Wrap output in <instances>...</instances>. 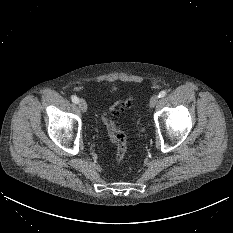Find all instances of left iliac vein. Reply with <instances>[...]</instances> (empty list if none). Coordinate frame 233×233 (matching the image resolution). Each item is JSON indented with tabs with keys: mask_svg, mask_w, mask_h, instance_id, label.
Here are the masks:
<instances>
[{
	"mask_svg": "<svg viewBox=\"0 0 233 233\" xmlns=\"http://www.w3.org/2000/svg\"><path fill=\"white\" fill-rule=\"evenodd\" d=\"M158 101H159L158 95H153L150 99V103H149L150 107L153 108L158 103Z\"/></svg>",
	"mask_w": 233,
	"mask_h": 233,
	"instance_id": "1",
	"label": "left iliac vein"
}]
</instances>
